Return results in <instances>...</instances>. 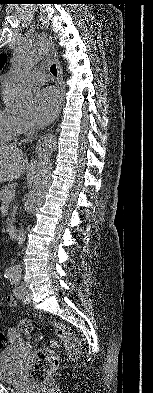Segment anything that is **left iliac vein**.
<instances>
[{
	"mask_svg": "<svg viewBox=\"0 0 153 393\" xmlns=\"http://www.w3.org/2000/svg\"><path fill=\"white\" fill-rule=\"evenodd\" d=\"M19 297L25 304L29 303V289L26 286H21V292Z\"/></svg>",
	"mask_w": 153,
	"mask_h": 393,
	"instance_id": "left-iliac-vein-1",
	"label": "left iliac vein"
}]
</instances>
